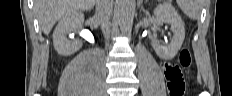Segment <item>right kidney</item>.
<instances>
[{
	"instance_id": "right-kidney-1",
	"label": "right kidney",
	"mask_w": 232,
	"mask_h": 96,
	"mask_svg": "<svg viewBox=\"0 0 232 96\" xmlns=\"http://www.w3.org/2000/svg\"><path fill=\"white\" fill-rule=\"evenodd\" d=\"M83 22L84 15L79 12L65 15L58 22L53 33V44L58 54L70 56L81 48L82 43L79 40L69 43L67 41V34L79 30Z\"/></svg>"
}]
</instances>
